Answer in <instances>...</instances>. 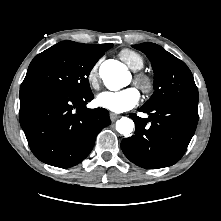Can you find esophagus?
<instances>
[{"mask_svg":"<svg viewBox=\"0 0 221 221\" xmlns=\"http://www.w3.org/2000/svg\"><path fill=\"white\" fill-rule=\"evenodd\" d=\"M119 117H120L119 114L110 113V119H111V121H116Z\"/></svg>","mask_w":221,"mask_h":221,"instance_id":"34e87169","label":"esophagus"}]
</instances>
